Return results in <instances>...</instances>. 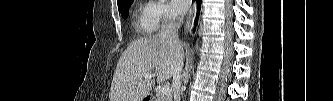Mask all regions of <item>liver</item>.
<instances>
[{"mask_svg": "<svg viewBox=\"0 0 333 101\" xmlns=\"http://www.w3.org/2000/svg\"><path fill=\"white\" fill-rule=\"evenodd\" d=\"M174 64L175 51L160 35L133 41L118 60L110 101H143L155 85L154 77L157 82L169 79ZM146 74L151 77L145 79Z\"/></svg>", "mask_w": 333, "mask_h": 101, "instance_id": "6515ba94", "label": "liver"}]
</instances>
